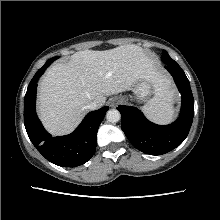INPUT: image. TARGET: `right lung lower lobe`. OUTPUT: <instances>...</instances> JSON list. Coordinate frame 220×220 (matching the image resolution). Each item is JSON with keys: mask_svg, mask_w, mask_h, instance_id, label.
Here are the masks:
<instances>
[{"mask_svg": "<svg viewBox=\"0 0 220 220\" xmlns=\"http://www.w3.org/2000/svg\"><path fill=\"white\" fill-rule=\"evenodd\" d=\"M56 59H49L36 72L28 86L24 99V124L31 142L48 161L62 167H76L92 158L96 149L99 125L109 107L90 112L73 133L52 138L37 118L35 102L36 83L45 69Z\"/></svg>", "mask_w": 220, "mask_h": 220, "instance_id": "right-lung-lower-lobe-1", "label": "right lung lower lobe"}]
</instances>
